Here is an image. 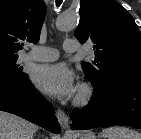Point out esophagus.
<instances>
[{"instance_id": "esophagus-1", "label": "esophagus", "mask_w": 141, "mask_h": 139, "mask_svg": "<svg viewBox=\"0 0 141 139\" xmlns=\"http://www.w3.org/2000/svg\"><path fill=\"white\" fill-rule=\"evenodd\" d=\"M56 116H57V119L59 121V124L61 125V128L63 130H68V128H69V118L66 115V113L63 110L58 109L56 111Z\"/></svg>"}]
</instances>
